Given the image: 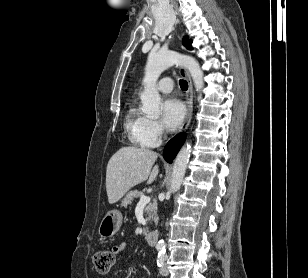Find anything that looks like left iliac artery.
Wrapping results in <instances>:
<instances>
[{
  "instance_id": "44dca946",
  "label": "left iliac artery",
  "mask_w": 308,
  "mask_h": 278,
  "mask_svg": "<svg viewBox=\"0 0 308 278\" xmlns=\"http://www.w3.org/2000/svg\"><path fill=\"white\" fill-rule=\"evenodd\" d=\"M166 257V251L165 249H162L158 253V258H157V266L162 267L164 264V259Z\"/></svg>"
}]
</instances>
